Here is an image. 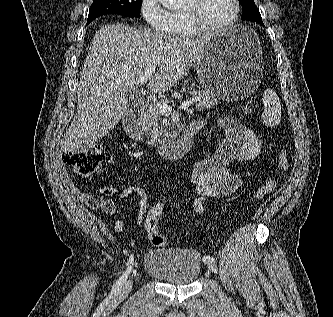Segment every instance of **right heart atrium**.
I'll use <instances>...</instances> for the list:
<instances>
[{
	"mask_svg": "<svg viewBox=\"0 0 333 317\" xmlns=\"http://www.w3.org/2000/svg\"><path fill=\"white\" fill-rule=\"evenodd\" d=\"M140 13L153 30L161 33L170 32L171 14L158 0H141Z\"/></svg>",
	"mask_w": 333,
	"mask_h": 317,
	"instance_id": "obj_1",
	"label": "right heart atrium"
}]
</instances>
